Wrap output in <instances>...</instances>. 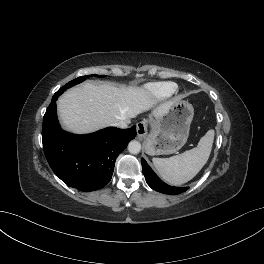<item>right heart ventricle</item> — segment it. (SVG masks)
I'll use <instances>...</instances> for the list:
<instances>
[{"instance_id":"right-heart-ventricle-1","label":"right heart ventricle","mask_w":264,"mask_h":264,"mask_svg":"<svg viewBox=\"0 0 264 264\" xmlns=\"http://www.w3.org/2000/svg\"><path fill=\"white\" fill-rule=\"evenodd\" d=\"M177 85L173 82H156L145 86V92L155 99H165L175 93Z\"/></svg>"}]
</instances>
